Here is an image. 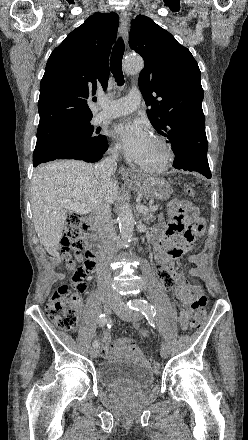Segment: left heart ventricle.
<instances>
[{
	"mask_svg": "<svg viewBox=\"0 0 248 440\" xmlns=\"http://www.w3.org/2000/svg\"><path fill=\"white\" fill-rule=\"evenodd\" d=\"M161 158V150L157 146V144L152 140L151 144L143 156V158L139 161L141 164L145 165H153L156 164Z\"/></svg>",
	"mask_w": 248,
	"mask_h": 440,
	"instance_id": "left-heart-ventricle-1",
	"label": "left heart ventricle"
}]
</instances>
